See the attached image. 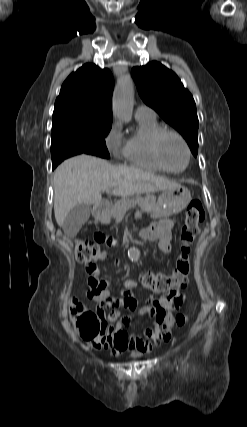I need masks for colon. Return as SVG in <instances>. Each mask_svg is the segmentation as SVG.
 <instances>
[{"label": "colon", "mask_w": 247, "mask_h": 427, "mask_svg": "<svg viewBox=\"0 0 247 427\" xmlns=\"http://www.w3.org/2000/svg\"><path fill=\"white\" fill-rule=\"evenodd\" d=\"M205 218L202 204L194 200L185 212L184 224L181 229V253L176 261V267L171 274H163L147 270L141 273L142 286L156 294H166L186 286L190 272L189 255L192 245L200 233V224ZM75 256L81 263H93L106 258V253L99 244L84 240L75 242ZM70 316L72 323L83 340L95 347L104 345L106 329L98 315L86 308L81 302L72 301ZM189 315L178 314L175 317L177 326H183Z\"/></svg>", "instance_id": "1"}]
</instances>
